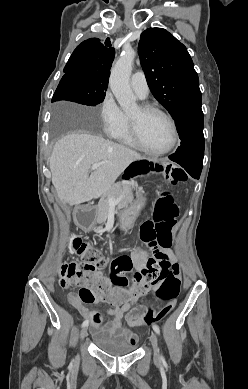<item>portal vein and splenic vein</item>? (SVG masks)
<instances>
[{"mask_svg": "<svg viewBox=\"0 0 248 389\" xmlns=\"http://www.w3.org/2000/svg\"><path fill=\"white\" fill-rule=\"evenodd\" d=\"M101 165V163H95L92 165L91 167V170H95L96 168H98L99 166ZM122 197L118 198V199H114V198H109V205L110 206H115L118 204V202L121 200Z\"/></svg>", "mask_w": 248, "mask_h": 389, "instance_id": "portal-vein-and-splenic-vein-1", "label": "portal vein and splenic vein"}]
</instances>
